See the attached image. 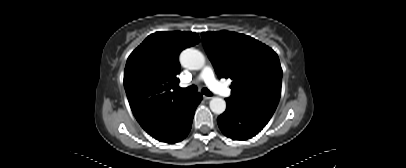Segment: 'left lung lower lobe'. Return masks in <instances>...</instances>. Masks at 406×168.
<instances>
[{
  "label": "left lung lower lobe",
  "mask_w": 406,
  "mask_h": 168,
  "mask_svg": "<svg viewBox=\"0 0 406 168\" xmlns=\"http://www.w3.org/2000/svg\"><path fill=\"white\" fill-rule=\"evenodd\" d=\"M227 109L218 119L221 131L233 140H246L258 134L273 111L226 98Z\"/></svg>",
  "instance_id": "0a47b994"
}]
</instances>
